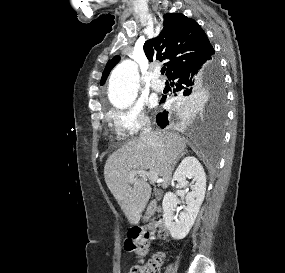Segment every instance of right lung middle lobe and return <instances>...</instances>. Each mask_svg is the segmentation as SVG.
I'll list each match as a JSON object with an SVG mask.
<instances>
[{
  "instance_id": "1",
  "label": "right lung middle lobe",
  "mask_w": 285,
  "mask_h": 273,
  "mask_svg": "<svg viewBox=\"0 0 285 273\" xmlns=\"http://www.w3.org/2000/svg\"><path fill=\"white\" fill-rule=\"evenodd\" d=\"M213 95L224 98L223 93V77L219 69V64L216 59H214L211 70L209 71L208 77L204 84L196 89L192 94L184 96L180 95L179 104L193 102L195 96L197 95ZM218 116L223 119L225 116V109L223 106H218L217 109Z\"/></svg>"
}]
</instances>
